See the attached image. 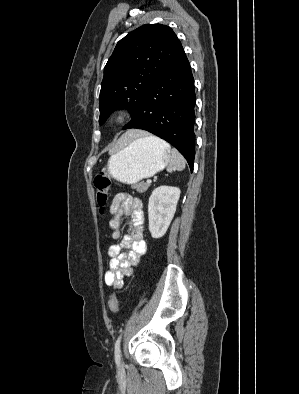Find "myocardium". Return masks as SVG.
Instances as JSON below:
<instances>
[{
	"instance_id": "f54148a6",
	"label": "myocardium",
	"mask_w": 299,
	"mask_h": 394,
	"mask_svg": "<svg viewBox=\"0 0 299 394\" xmlns=\"http://www.w3.org/2000/svg\"><path fill=\"white\" fill-rule=\"evenodd\" d=\"M127 119H128V112L125 109H118L110 115L109 123L112 126L119 127L124 125Z\"/></svg>"
}]
</instances>
